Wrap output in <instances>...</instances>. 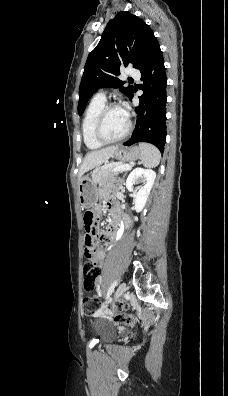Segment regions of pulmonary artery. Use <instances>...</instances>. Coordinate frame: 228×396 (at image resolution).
<instances>
[{"mask_svg":"<svg viewBox=\"0 0 228 396\" xmlns=\"http://www.w3.org/2000/svg\"><path fill=\"white\" fill-rule=\"evenodd\" d=\"M128 74H129L131 77H133V78H139V77H140V72H139L138 69H131V70L128 72ZM105 95H106V93H105L104 90H99V91L96 93V96H97V97H101V98H105Z\"/></svg>","mask_w":228,"mask_h":396,"instance_id":"e3ab8cb5","label":"pulmonary artery"}]
</instances>
